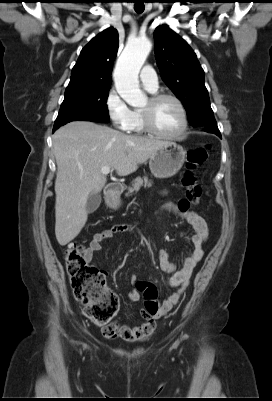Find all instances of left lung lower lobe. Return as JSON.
Listing matches in <instances>:
<instances>
[{
  "mask_svg": "<svg viewBox=\"0 0 272 401\" xmlns=\"http://www.w3.org/2000/svg\"><path fill=\"white\" fill-rule=\"evenodd\" d=\"M202 128L204 131L214 133L221 138V134H220V131L218 130L217 124L207 126V127H202Z\"/></svg>",
  "mask_w": 272,
  "mask_h": 401,
  "instance_id": "0a47b994",
  "label": "left lung lower lobe"
}]
</instances>
